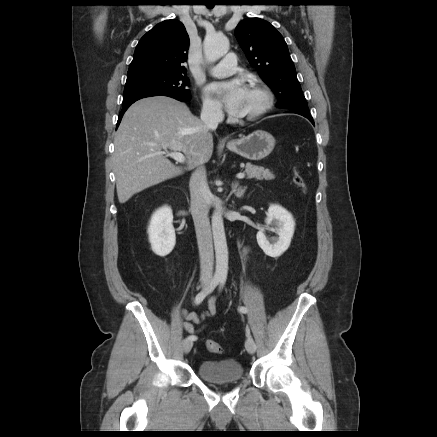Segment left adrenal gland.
Wrapping results in <instances>:
<instances>
[{
    "instance_id": "1",
    "label": "left adrenal gland",
    "mask_w": 437,
    "mask_h": 437,
    "mask_svg": "<svg viewBox=\"0 0 437 437\" xmlns=\"http://www.w3.org/2000/svg\"><path fill=\"white\" fill-rule=\"evenodd\" d=\"M247 189V186L239 187L238 182L232 184V190L236 197L241 198L244 196V193Z\"/></svg>"
}]
</instances>
